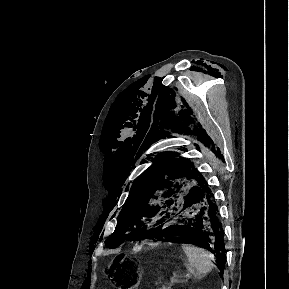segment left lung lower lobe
I'll return each instance as SVG.
<instances>
[{
    "mask_svg": "<svg viewBox=\"0 0 289 289\" xmlns=\"http://www.w3.org/2000/svg\"><path fill=\"white\" fill-rule=\"evenodd\" d=\"M164 224L155 228L146 238L182 236L193 238L195 243L212 252L221 271L225 266L223 229L218 207L208 183L194 184L182 191L174 200ZM172 220H176L171 222Z\"/></svg>",
    "mask_w": 289,
    "mask_h": 289,
    "instance_id": "obj_1",
    "label": "left lung lower lobe"
}]
</instances>
